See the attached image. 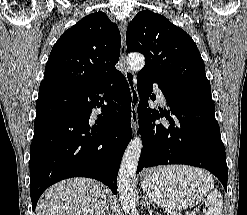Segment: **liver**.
I'll list each match as a JSON object with an SVG mask.
<instances>
[{
    "label": "liver",
    "instance_id": "6515ba94",
    "mask_svg": "<svg viewBox=\"0 0 247 215\" xmlns=\"http://www.w3.org/2000/svg\"><path fill=\"white\" fill-rule=\"evenodd\" d=\"M106 203L100 182L72 178L51 186L40 198L35 215H103Z\"/></svg>",
    "mask_w": 247,
    "mask_h": 215
}]
</instances>
